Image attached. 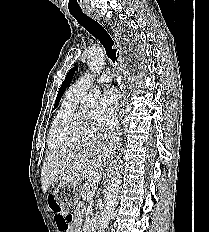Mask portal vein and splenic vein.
<instances>
[{"label": "portal vein and splenic vein", "mask_w": 209, "mask_h": 232, "mask_svg": "<svg viewBox=\"0 0 209 232\" xmlns=\"http://www.w3.org/2000/svg\"><path fill=\"white\" fill-rule=\"evenodd\" d=\"M94 196V192L89 191L86 194L82 195V199L84 201H90L92 199V197Z\"/></svg>", "instance_id": "1"}]
</instances>
